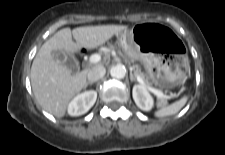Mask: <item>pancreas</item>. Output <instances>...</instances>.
I'll use <instances>...</instances> for the list:
<instances>
[{
    "mask_svg": "<svg viewBox=\"0 0 225 155\" xmlns=\"http://www.w3.org/2000/svg\"><path fill=\"white\" fill-rule=\"evenodd\" d=\"M133 69H134L135 76H140L143 79V81L145 82V84L151 85L149 78L147 77V75L144 72H142L141 68L138 65L133 66ZM159 103L161 105H166L167 104L166 96L163 95V97H160Z\"/></svg>",
    "mask_w": 225,
    "mask_h": 155,
    "instance_id": "cf45deb5",
    "label": "pancreas"
}]
</instances>
